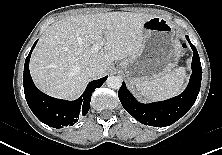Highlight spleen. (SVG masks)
<instances>
[{"mask_svg":"<svg viewBox=\"0 0 222 155\" xmlns=\"http://www.w3.org/2000/svg\"><path fill=\"white\" fill-rule=\"evenodd\" d=\"M184 79L185 68L179 67L162 77L138 81L136 88L148 100L158 101L178 95L182 91Z\"/></svg>","mask_w":222,"mask_h":155,"instance_id":"3e777b00","label":"spleen"}]
</instances>
